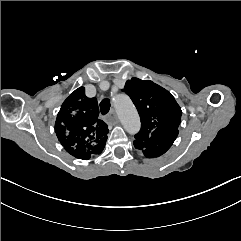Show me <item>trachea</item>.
I'll return each instance as SVG.
<instances>
[{"label": "trachea", "mask_w": 241, "mask_h": 241, "mask_svg": "<svg viewBox=\"0 0 241 241\" xmlns=\"http://www.w3.org/2000/svg\"><path fill=\"white\" fill-rule=\"evenodd\" d=\"M110 101L106 98L100 102V111L102 115H106L110 110Z\"/></svg>", "instance_id": "1"}]
</instances>
